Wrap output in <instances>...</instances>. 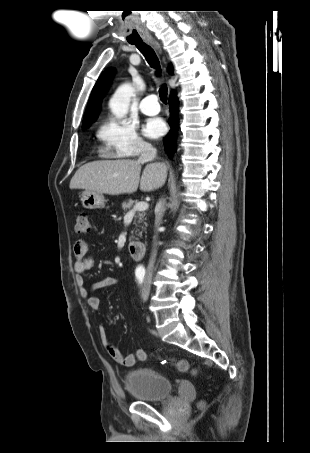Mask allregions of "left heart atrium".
I'll list each match as a JSON object with an SVG mask.
<instances>
[{"label": "left heart atrium", "mask_w": 310, "mask_h": 453, "mask_svg": "<svg viewBox=\"0 0 310 453\" xmlns=\"http://www.w3.org/2000/svg\"><path fill=\"white\" fill-rule=\"evenodd\" d=\"M165 132V123L161 119H152L144 127V134L150 138H157Z\"/></svg>", "instance_id": "left-heart-atrium-1"}]
</instances>
